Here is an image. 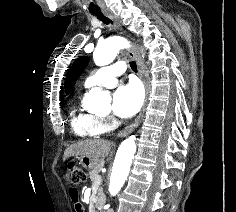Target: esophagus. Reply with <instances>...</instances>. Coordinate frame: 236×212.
Instances as JSON below:
<instances>
[{"label":"esophagus","mask_w":236,"mask_h":212,"mask_svg":"<svg viewBox=\"0 0 236 212\" xmlns=\"http://www.w3.org/2000/svg\"><path fill=\"white\" fill-rule=\"evenodd\" d=\"M105 15L113 21L115 27L120 31V33H123L120 23L111 14L105 13ZM128 55L130 58L135 60L138 65L140 77L145 85L146 95H145V101H144L143 107H142L141 112L139 113L138 117L136 118V120L132 124L128 125L127 127H125L124 130L120 131L118 133V137H124V136L130 134L135 128H137L139 126V124L144 116L145 110H146L147 98H148V92H149V87H148V83H147V80L145 77V72H144V69L142 66L141 59L139 58V56L137 55V53L134 49H129Z\"/></svg>","instance_id":"1"}]
</instances>
